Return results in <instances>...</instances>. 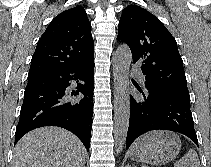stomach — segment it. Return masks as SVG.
Here are the masks:
<instances>
[{
    "instance_id": "1",
    "label": "stomach",
    "mask_w": 211,
    "mask_h": 167,
    "mask_svg": "<svg viewBox=\"0 0 211 167\" xmlns=\"http://www.w3.org/2000/svg\"><path fill=\"white\" fill-rule=\"evenodd\" d=\"M181 140L169 131H152L134 142L129 154L131 159L152 165L173 160L180 152Z\"/></svg>"
}]
</instances>
